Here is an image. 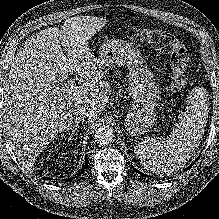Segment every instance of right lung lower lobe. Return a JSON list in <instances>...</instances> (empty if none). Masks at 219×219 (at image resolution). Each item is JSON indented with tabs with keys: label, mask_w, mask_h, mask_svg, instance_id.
<instances>
[{
	"label": "right lung lower lobe",
	"mask_w": 219,
	"mask_h": 219,
	"mask_svg": "<svg viewBox=\"0 0 219 219\" xmlns=\"http://www.w3.org/2000/svg\"><path fill=\"white\" fill-rule=\"evenodd\" d=\"M87 166H88V161H87V158H86V159H85L84 166H83L81 172H79V174H78L77 176L81 175V174L83 173L84 169L87 168ZM75 177H76V176H75ZM75 177H72V178L66 179V180H64V181H68V182H70V181H72ZM43 179H45V177H44ZM49 179H50V178H46V180H49Z\"/></svg>",
	"instance_id": "1"
}]
</instances>
